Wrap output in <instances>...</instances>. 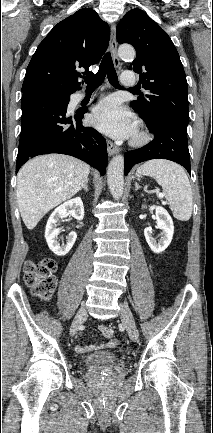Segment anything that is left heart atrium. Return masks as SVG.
I'll use <instances>...</instances> for the list:
<instances>
[{"mask_svg":"<svg viewBox=\"0 0 213 433\" xmlns=\"http://www.w3.org/2000/svg\"><path fill=\"white\" fill-rule=\"evenodd\" d=\"M90 121L97 129L114 138H127L135 131L133 116L113 97L106 98L94 108Z\"/></svg>","mask_w":213,"mask_h":433,"instance_id":"1","label":"left heart atrium"}]
</instances>
